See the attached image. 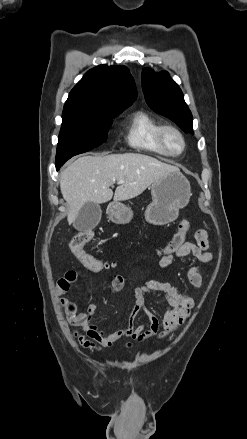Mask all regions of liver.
Instances as JSON below:
<instances>
[{
  "mask_svg": "<svg viewBox=\"0 0 247 439\" xmlns=\"http://www.w3.org/2000/svg\"><path fill=\"white\" fill-rule=\"evenodd\" d=\"M179 168L139 153L83 156L68 165L60 175V189L68 205L67 220L75 221L86 202L102 204L113 197L110 189L123 181L114 193V201L140 195L156 180Z\"/></svg>",
  "mask_w": 247,
  "mask_h": 439,
  "instance_id": "6515ba94",
  "label": "liver"
}]
</instances>
